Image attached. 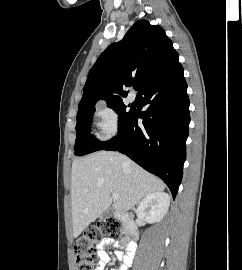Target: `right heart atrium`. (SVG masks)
I'll use <instances>...</instances> for the list:
<instances>
[{"label":"right heart atrium","mask_w":242,"mask_h":270,"mask_svg":"<svg viewBox=\"0 0 242 270\" xmlns=\"http://www.w3.org/2000/svg\"><path fill=\"white\" fill-rule=\"evenodd\" d=\"M96 126L99 137L108 140L117 134L119 129V116L117 111L105 103L98 105L96 110Z\"/></svg>","instance_id":"d8ad5b80"}]
</instances>
